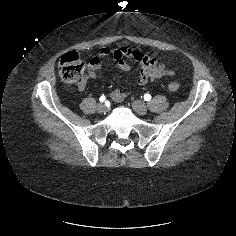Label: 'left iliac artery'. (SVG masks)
I'll list each match as a JSON object with an SVG mask.
<instances>
[{
	"instance_id": "left-iliac-artery-1",
	"label": "left iliac artery",
	"mask_w": 236,
	"mask_h": 236,
	"mask_svg": "<svg viewBox=\"0 0 236 236\" xmlns=\"http://www.w3.org/2000/svg\"><path fill=\"white\" fill-rule=\"evenodd\" d=\"M144 99H145V101H150V100H151V95L148 94V93H146V94L144 95Z\"/></svg>"
}]
</instances>
